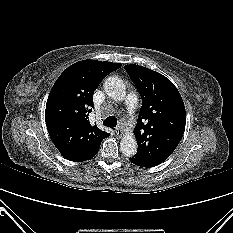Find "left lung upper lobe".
<instances>
[{
	"label": "left lung upper lobe",
	"mask_w": 233,
	"mask_h": 233,
	"mask_svg": "<svg viewBox=\"0 0 233 233\" xmlns=\"http://www.w3.org/2000/svg\"><path fill=\"white\" fill-rule=\"evenodd\" d=\"M124 68L142 99L134 129L138 145L134 157L157 166L170 156L184 134L186 112L182 97L162 74L135 64Z\"/></svg>",
	"instance_id": "left-lung-upper-lobe-1"
}]
</instances>
